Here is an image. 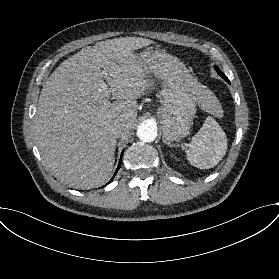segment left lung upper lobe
Returning <instances> with one entry per match:
<instances>
[{"instance_id": "5c2ea615", "label": "left lung upper lobe", "mask_w": 279, "mask_h": 279, "mask_svg": "<svg viewBox=\"0 0 279 279\" xmlns=\"http://www.w3.org/2000/svg\"><path fill=\"white\" fill-rule=\"evenodd\" d=\"M215 69H216L217 73H218L225 81H227L228 83H230L229 80H228V78L225 76L224 73H222V72L220 71V69H219L218 67H215Z\"/></svg>"}]
</instances>
